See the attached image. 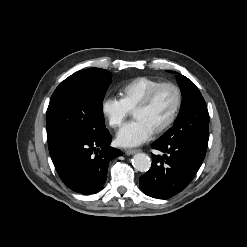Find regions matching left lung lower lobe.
I'll use <instances>...</instances> for the list:
<instances>
[{
  "instance_id": "1",
  "label": "left lung lower lobe",
  "mask_w": 247,
  "mask_h": 247,
  "mask_svg": "<svg viewBox=\"0 0 247 247\" xmlns=\"http://www.w3.org/2000/svg\"><path fill=\"white\" fill-rule=\"evenodd\" d=\"M150 170L140 177V188L148 196L168 198L181 192L193 179L206 154L207 145L190 139L156 140Z\"/></svg>"
}]
</instances>
